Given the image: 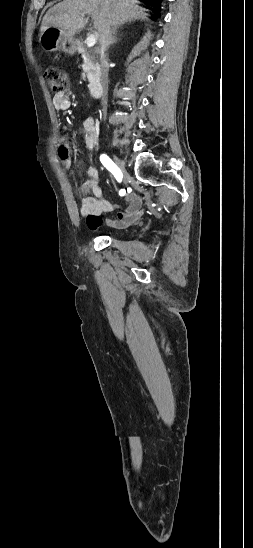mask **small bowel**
I'll return each instance as SVG.
<instances>
[{"label":"small bowel","mask_w":253,"mask_h":548,"mask_svg":"<svg viewBox=\"0 0 253 548\" xmlns=\"http://www.w3.org/2000/svg\"><path fill=\"white\" fill-rule=\"evenodd\" d=\"M53 104L58 111H67L72 105L71 98L65 91L56 93ZM66 126L62 125L61 134L57 138L58 151L63 166L67 169L72 166V159L62 142ZM84 142L87 152H91L97 143V130L92 118H87L84 125ZM88 180L80 186L84 195L80 204L81 215L87 218V225L91 230H97L102 222V215L117 210L116 218L105 220L106 224L114 228H122L137 221L143 214L142 200L135 194L127 195L121 205H116L104 197V190L100 183L99 171L95 166L87 169ZM91 195H88V194Z\"/></svg>","instance_id":"small-bowel-1"}]
</instances>
